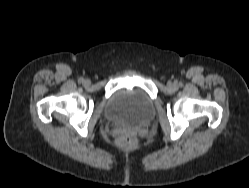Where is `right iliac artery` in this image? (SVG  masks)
Wrapping results in <instances>:
<instances>
[{
	"label": "right iliac artery",
	"mask_w": 249,
	"mask_h": 188,
	"mask_svg": "<svg viewBox=\"0 0 249 188\" xmlns=\"http://www.w3.org/2000/svg\"><path fill=\"white\" fill-rule=\"evenodd\" d=\"M78 82H79V83H83V82H84V79L81 77V78H79Z\"/></svg>",
	"instance_id": "1"
}]
</instances>
